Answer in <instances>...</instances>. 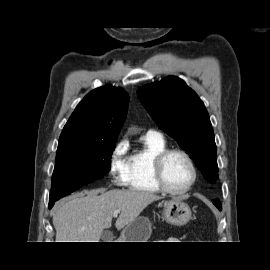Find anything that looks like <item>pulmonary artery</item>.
Segmentation results:
<instances>
[{"instance_id": "e3ab8cb5", "label": "pulmonary artery", "mask_w": 270, "mask_h": 270, "mask_svg": "<svg viewBox=\"0 0 270 270\" xmlns=\"http://www.w3.org/2000/svg\"><path fill=\"white\" fill-rule=\"evenodd\" d=\"M147 134H149V135H155V136H161L162 137V133L160 132V131H156V130H149L148 132H147Z\"/></svg>"}]
</instances>
